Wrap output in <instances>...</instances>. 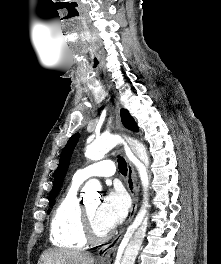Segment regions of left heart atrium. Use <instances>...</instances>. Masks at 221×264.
<instances>
[{
  "label": "left heart atrium",
  "mask_w": 221,
  "mask_h": 264,
  "mask_svg": "<svg viewBox=\"0 0 221 264\" xmlns=\"http://www.w3.org/2000/svg\"><path fill=\"white\" fill-rule=\"evenodd\" d=\"M128 210V200L124 192L120 189L110 191L97 210V217L108 229H112L120 223L126 216Z\"/></svg>",
  "instance_id": "1"
}]
</instances>
